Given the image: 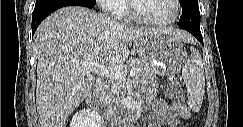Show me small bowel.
Masks as SVG:
<instances>
[{
  "label": "small bowel",
  "mask_w": 243,
  "mask_h": 127,
  "mask_svg": "<svg viewBox=\"0 0 243 127\" xmlns=\"http://www.w3.org/2000/svg\"><path fill=\"white\" fill-rule=\"evenodd\" d=\"M149 104L155 109L156 115L150 119V127H159L162 125L169 127H178L184 121L191 118L189 107L179 100H172L170 104L165 101L158 100L152 96Z\"/></svg>",
  "instance_id": "small-bowel-1"
}]
</instances>
